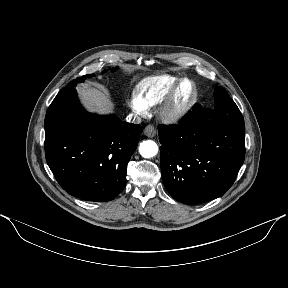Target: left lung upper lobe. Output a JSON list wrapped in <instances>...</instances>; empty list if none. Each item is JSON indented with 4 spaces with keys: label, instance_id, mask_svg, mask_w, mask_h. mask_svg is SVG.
<instances>
[{
    "label": "left lung upper lobe",
    "instance_id": "left-lung-upper-lobe-1",
    "mask_svg": "<svg viewBox=\"0 0 288 288\" xmlns=\"http://www.w3.org/2000/svg\"><path fill=\"white\" fill-rule=\"evenodd\" d=\"M214 101L215 108L205 111L208 119L229 124L245 131L243 116L225 89L222 87L215 88Z\"/></svg>",
    "mask_w": 288,
    "mask_h": 288
}]
</instances>
